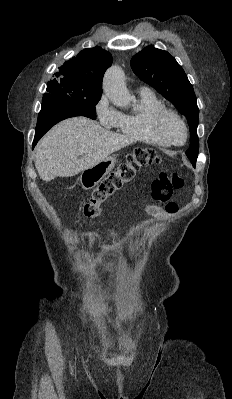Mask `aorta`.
Here are the masks:
<instances>
[{"label":"aorta","mask_w":232,"mask_h":399,"mask_svg":"<svg viewBox=\"0 0 232 399\" xmlns=\"http://www.w3.org/2000/svg\"><path fill=\"white\" fill-rule=\"evenodd\" d=\"M103 89L109 100L116 106L125 107L131 100L122 69L118 66L109 68L104 76Z\"/></svg>","instance_id":"1"}]
</instances>
